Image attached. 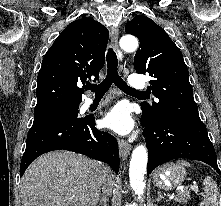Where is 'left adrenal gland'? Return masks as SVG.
Segmentation results:
<instances>
[{
    "instance_id": "1",
    "label": "left adrenal gland",
    "mask_w": 221,
    "mask_h": 206,
    "mask_svg": "<svg viewBox=\"0 0 221 206\" xmlns=\"http://www.w3.org/2000/svg\"><path fill=\"white\" fill-rule=\"evenodd\" d=\"M161 199H164V197L162 196L161 192H158V197H157V201H160Z\"/></svg>"
}]
</instances>
